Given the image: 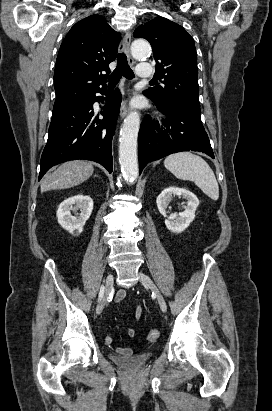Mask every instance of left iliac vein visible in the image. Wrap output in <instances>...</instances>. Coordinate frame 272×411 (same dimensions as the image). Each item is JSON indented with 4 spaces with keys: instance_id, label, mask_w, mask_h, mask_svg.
Masks as SVG:
<instances>
[{
    "instance_id": "obj_1",
    "label": "left iliac vein",
    "mask_w": 272,
    "mask_h": 411,
    "mask_svg": "<svg viewBox=\"0 0 272 411\" xmlns=\"http://www.w3.org/2000/svg\"><path fill=\"white\" fill-rule=\"evenodd\" d=\"M139 281L141 284H143L144 286L149 287L153 293L155 294L157 301L159 303V306L161 308V310L163 312H166L167 310V305L166 302L163 298V296L161 295L160 291L158 290V288L156 287V285L154 284V282L151 280V278L143 273H139Z\"/></svg>"
}]
</instances>
